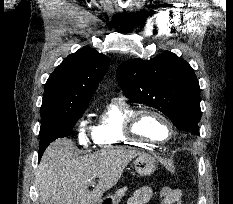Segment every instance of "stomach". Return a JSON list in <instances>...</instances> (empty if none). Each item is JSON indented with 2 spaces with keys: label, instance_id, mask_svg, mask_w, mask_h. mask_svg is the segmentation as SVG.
Returning <instances> with one entry per match:
<instances>
[{
  "label": "stomach",
  "instance_id": "0dacf381",
  "mask_svg": "<svg viewBox=\"0 0 233 204\" xmlns=\"http://www.w3.org/2000/svg\"><path fill=\"white\" fill-rule=\"evenodd\" d=\"M135 171L141 176H149L156 169V161L153 157L147 154H141L133 161ZM105 201H100L98 204H105Z\"/></svg>",
  "mask_w": 233,
  "mask_h": 204
}]
</instances>
